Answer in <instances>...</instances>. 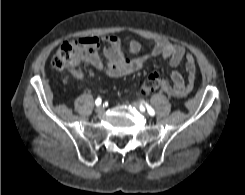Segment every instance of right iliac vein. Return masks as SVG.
I'll use <instances>...</instances> for the list:
<instances>
[{
    "label": "right iliac vein",
    "instance_id": "obj_1",
    "mask_svg": "<svg viewBox=\"0 0 245 195\" xmlns=\"http://www.w3.org/2000/svg\"><path fill=\"white\" fill-rule=\"evenodd\" d=\"M104 111H105V108H104V106H98L97 108H96V113L98 114V115H102L103 113H104Z\"/></svg>",
    "mask_w": 245,
    "mask_h": 195
}]
</instances>
